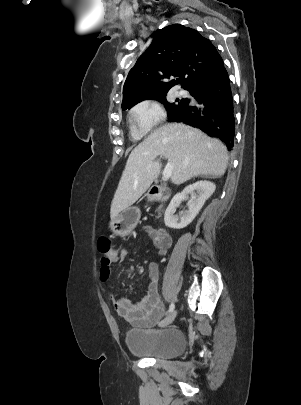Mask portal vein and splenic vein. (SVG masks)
<instances>
[{"label":"portal vein and splenic vein","mask_w":301,"mask_h":405,"mask_svg":"<svg viewBox=\"0 0 301 405\" xmlns=\"http://www.w3.org/2000/svg\"><path fill=\"white\" fill-rule=\"evenodd\" d=\"M172 170H173V164L170 163V162H168L167 165L165 166L164 171H163L162 179H163L164 181H166V180L169 179V177H170L171 174H172Z\"/></svg>","instance_id":"1"}]
</instances>
